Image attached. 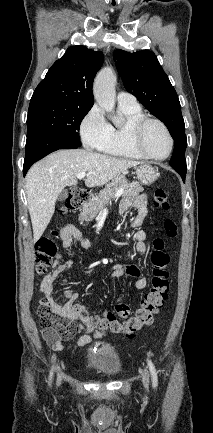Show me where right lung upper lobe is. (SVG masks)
Segmentation results:
<instances>
[{"mask_svg": "<svg viewBox=\"0 0 213 433\" xmlns=\"http://www.w3.org/2000/svg\"><path fill=\"white\" fill-rule=\"evenodd\" d=\"M104 55L82 45L67 49L36 87L31 100L52 99L92 106L93 79L101 68Z\"/></svg>", "mask_w": 213, "mask_h": 433, "instance_id": "obj_1", "label": "right lung upper lobe"}]
</instances>
